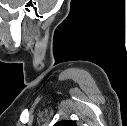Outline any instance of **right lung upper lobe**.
<instances>
[{
    "label": "right lung upper lobe",
    "mask_w": 127,
    "mask_h": 126,
    "mask_svg": "<svg viewBox=\"0 0 127 126\" xmlns=\"http://www.w3.org/2000/svg\"><path fill=\"white\" fill-rule=\"evenodd\" d=\"M54 126H77V125L74 121L63 120V121L57 122Z\"/></svg>",
    "instance_id": "1"
}]
</instances>
